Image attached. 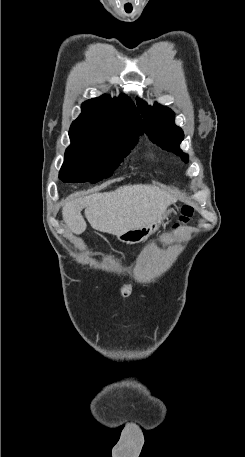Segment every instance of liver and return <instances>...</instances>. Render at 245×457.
<instances>
[{
    "instance_id": "liver-1",
    "label": "liver",
    "mask_w": 245,
    "mask_h": 457,
    "mask_svg": "<svg viewBox=\"0 0 245 457\" xmlns=\"http://www.w3.org/2000/svg\"><path fill=\"white\" fill-rule=\"evenodd\" d=\"M66 200L62 216L74 235H81L86 229L82 208L92 229L118 235L158 220L167 206L175 202L169 192L155 184H126L111 192H94Z\"/></svg>"
}]
</instances>
